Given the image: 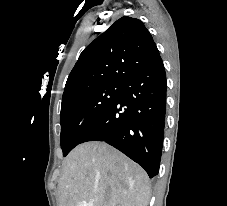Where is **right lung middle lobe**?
<instances>
[{
	"label": "right lung middle lobe",
	"instance_id": "1",
	"mask_svg": "<svg viewBox=\"0 0 227 206\" xmlns=\"http://www.w3.org/2000/svg\"><path fill=\"white\" fill-rule=\"evenodd\" d=\"M121 90L122 83H105L62 100L60 123L63 156L81 143L90 128L117 100Z\"/></svg>",
	"mask_w": 227,
	"mask_h": 206
}]
</instances>
